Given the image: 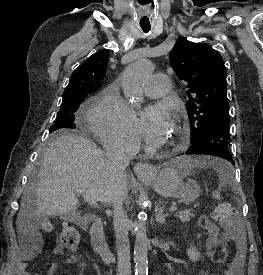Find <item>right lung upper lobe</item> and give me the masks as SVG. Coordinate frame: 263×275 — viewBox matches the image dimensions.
I'll list each match as a JSON object with an SVG mask.
<instances>
[{"mask_svg":"<svg viewBox=\"0 0 263 275\" xmlns=\"http://www.w3.org/2000/svg\"><path fill=\"white\" fill-rule=\"evenodd\" d=\"M109 54L108 50H101L86 59L72 73L63 96L76 92H88L89 94L98 90L101 86L100 81L105 76Z\"/></svg>","mask_w":263,"mask_h":275,"instance_id":"obj_1","label":"right lung upper lobe"}]
</instances>
